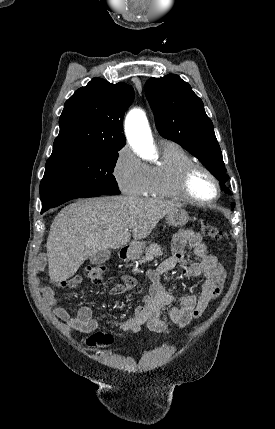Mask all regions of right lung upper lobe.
<instances>
[{
  "label": "right lung upper lobe",
  "instance_id": "cb5924a9",
  "mask_svg": "<svg viewBox=\"0 0 275 429\" xmlns=\"http://www.w3.org/2000/svg\"><path fill=\"white\" fill-rule=\"evenodd\" d=\"M133 98L132 86L93 78L66 101L53 152L121 149L126 142L122 121Z\"/></svg>",
  "mask_w": 275,
  "mask_h": 429
}]
</instances>
